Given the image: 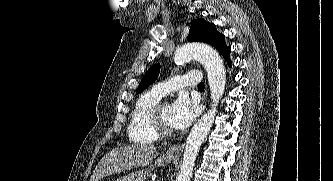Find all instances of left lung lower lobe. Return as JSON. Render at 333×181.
I'll return each instance as SVG.
<instances>
[{"label": "left lung lower lobe", "instance_id": "obj_1", "mask_svg": "<svg viewBox=\"0 0 333 181\" xmlns=\"http://www.w3.org/2000/svg\"><path fill=\"white\" fill-rule=\"evenodd\" d=\"M223 57L227 61L228 65L231 66V61H230V48L223 54Z\"/></svg>", "mask_w": 333, "mask_h": 181}]
</instances>
